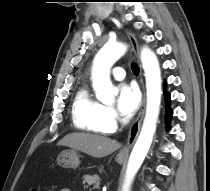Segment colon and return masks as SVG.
I'll return each mask as SVG.
<instances>
[{
    "instance_id": "obj_1",
    "label": "colon",
    "mask_w": 210,
    "mask_h": 191,
    "mask_svg": "<svg viewBox=\"0 0 210 191\" xmlns=\"http://www.w3.org/2000/svg\"><path fill=\"white\" fill-rule=\"evenodd\" d=\"M30 191H40V190H38V189H32V190H30Z\"/></svg>"
}]
</instances>
